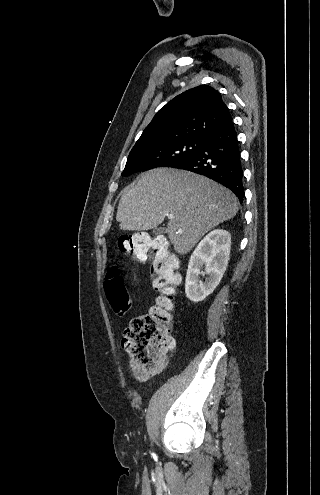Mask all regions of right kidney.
<instances>
[{"mask_svg": "<svg viewBox=\"0 0 320 495\" xmlns=\"http://www.w3.org/2000/svg\"><path fill=\"white\" fill-rule=\"evenodd\" d=\"M231 236L226 230L215 229L207 234L193 251L186 274L185 293L192 302H200L220 283L229 261ZM209 275L199 280L201 268Z\"/></svg>", "mask_w": 320, "mask_h": 495, "instance_id": "right-kidney-1", "label": "right kidney"}]
</instances>
